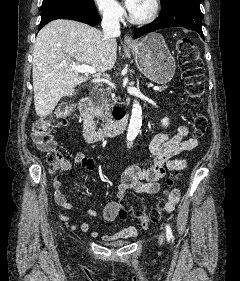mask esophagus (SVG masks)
Returning <instances> with one entry per match:
<instances>
[{
    "mask_svg": "<svg viewBox=\"0 0 240 281\" xmlns=\"http://www.w3.org/2000/svg\"><path fill=\"white\" fill-rule=\"evenodd\" d=\"M124 43L127 46H133L135 44L134 40L132 39V37H130L129 35H125L124 37Z\"/></svg>",
    "mask_w": 240,
    "mask_h": 281,
    "instance_id": "esophagus-1",
    "label": "esophagus"
}]
</instances>
